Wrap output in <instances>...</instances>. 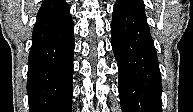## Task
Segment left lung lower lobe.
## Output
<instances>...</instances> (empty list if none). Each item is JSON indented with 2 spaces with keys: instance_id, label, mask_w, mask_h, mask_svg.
Segmentation results:
<instances>
[{
  "instance_id": "0a47b994",
  "label": "left lung lower lobe",
  "mask_w": 193,
  "mask_h": 112,
  "mask_svg": "<svg viewBox=\"0 0 193 112\" xmlns=\"http://www.w3.org/2000/svg\"><path fill=\"white\" fill-rule=\"evenodd\" d=\"M143 0H117L112 14V49L119 72L123 112H162L158 58Z\"/></svg>"
}]
</instances>
